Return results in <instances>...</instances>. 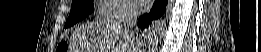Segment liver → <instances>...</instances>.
I'll list each match as a JSON object with an SVG mask.
<instances>
[{
  "label": "liver",
  "instance_id": "obj_1",
  "mask_svg": "<svg viewBox=\"0 0 261 52\" xmlns=\"http://www.w3.org/2000/svg\"><path fill=\"white\" fill-rule=\"evenodd\" d=\"M81 52H110L111 46H115L111 52H133L132 39L126 37V33L112 19H99L86 24L77 31ZM118 40V43H114ZM134 43V41H133Z\"/></svg>",
  "mask_w": 261,
  "mask_h": 52
}]
</instances>
